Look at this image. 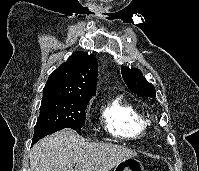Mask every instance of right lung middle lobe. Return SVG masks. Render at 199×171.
<instances>
[{
    "label": "right lung middle lobe",
    "mask_w": 199,
    "mask_h": 171,
    "mask_svg": "<svg viewBox=\"0 0 199 171\" xmlns=\"http://www.w3.org/2000/svg\"><path fill=\"white\" fill-rule=\"evenodd\" d=\"M89 100L43 91L40 116L34 127V135L47 129L80 130L85 124V110Z\"/></svg>",
    "instance_id": "1"
}]
</instances>
